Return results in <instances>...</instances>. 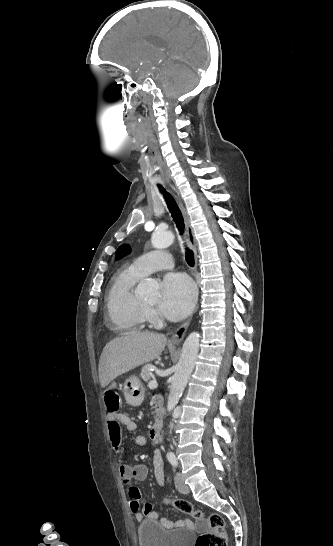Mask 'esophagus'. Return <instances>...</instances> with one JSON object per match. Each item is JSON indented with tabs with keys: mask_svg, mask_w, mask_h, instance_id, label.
I'll return each mask as SVG.
<instances>
[{
	"mask_svg": "<svg viewBox=\"0 0 333 546\" xmlns=\"http://www.w3.org/2000/svg\"><path fill=\"white\" fill-rule=\"evenodd\" d=\"M172 192L176 198V200L178 201V204H179V207H180V210L182 212V215L184 217V220H185V225H186V230H187V236H188V241H189V244L194 252V261H195V265H194V269L197 270V266H198V254H197V246H196V241H195V237H194V233H193V229L191 227V224H190V221H189V217L187 215V212H186V209L184 207V205L182 204L179 196L177 195L176 191L174 188H172ZM190 319H188L185 323H183L175 332L174 334L172 335L171 337V341L173 343H179L186 331H187V328L190 324Z\"/></svg>",
	"mask_w": 333,
	"mask_h": 546,
	"instance_id": "esophagus-1",
	"label": "esophagus"
}]
</instances>
